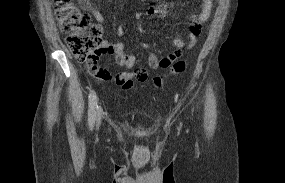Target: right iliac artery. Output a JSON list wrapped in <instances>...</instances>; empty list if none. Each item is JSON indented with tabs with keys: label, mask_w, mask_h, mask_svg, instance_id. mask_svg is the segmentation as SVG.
I'll use <instances>...</instances> for the list:
<instances>
[{
	"label": "right iliac artery",
	"mask_w": 285,
	"mask_h": 183,
	"mask_svg": "<svg viewBox=\"0 0 285 183\" xmlns=\"http://www.w3.org/2000/svg\"><path fill=\"white\" fill-rule=\"evenodd\" d=\"M96 93L92 91L89 94V109H88V124L90 129L93 128L95 122V115H96Z\"/></svg>",
	"instance_id": "right-iliac-artery-1"
}]
</instances>
